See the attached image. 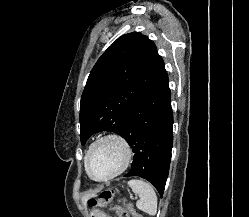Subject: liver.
Here are the masks:
<instances>
[{
    "instance_id": "obj_1",
    "label": "liver",
    "mask_w": 249,
    "mask_h": 217,
    "mask_svg": "<svg viewBox=\"0 0 249 217\" xmlns=\"http://www.w3.org/2000/svg\"><path fill=\"white\" fill-rule=\"evenodd\" d=\"M92 196H94V194H87V195L83 196L82 202H83L84 204H86L87 200H88L90 197H92Z\"/></svg>"
}]
</instances>
